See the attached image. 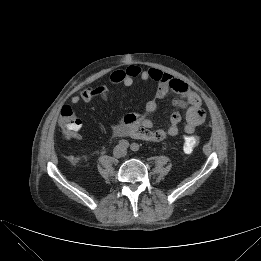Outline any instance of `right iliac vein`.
<instances>
[{
    "label": "right iliac vein",
    "mask_w": 261,
    "mask_h": 261,
    "mask_svg": "<svg viewBox=\"0 0 261 261\" xmlns=\"http://www.w3.org/2000/svg\"><path fill=\"white\" fill-rule=\"evenodd\" d=\"M122 153V147L118 146L114 149V155L119 156Z\"/></svg>",
    "instance_id": "right-iliac-vein-1"
}]
</instances>
